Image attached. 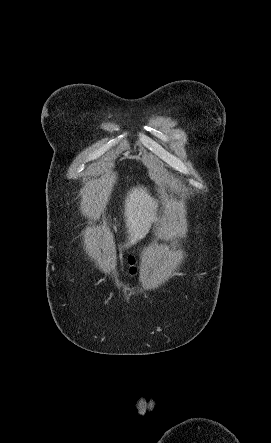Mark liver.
Masks as SVG:
<instances>
[{"label":"liver","mask_w":271,"mask_h":443,"mask_svg":"<svg viewBox=\"0 0 271 443\" xmlns=\"http://www.w3.org/2000/svg\"><path fill=\"white\" fill-rule=\"evenodd\" d=\"M156 204L157 202L149 196L145 188H133L131 192H128L124 206V218L129 235L125 247L135 245L148 233L151 223L155 222Z\"/></svg>","instance_id":"6515ba94"}]
</instances>
